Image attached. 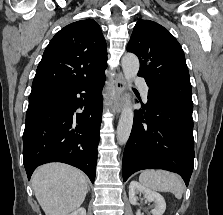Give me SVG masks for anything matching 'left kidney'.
<instances>
[{"mask_svg": "<svg viewBox=\"0 0 223 215\" xmlns=\"http://www.w3.org/2000/svg\"><path fill=\"white\" fill-rule=\"evenodd\" d=\"M136 193H144L147 201H154V207L152 209L153 215H162L166 209V201L157 191H152V189H147L144 185H141L139 181H131L129 185V201L133 205H137V195ZM136 215H142L141 211H137Z\"/></svg>", "mask_w": 223, "mask_h": 215, "instance_id": "1", "label": "left kidney"}]
</instances>
